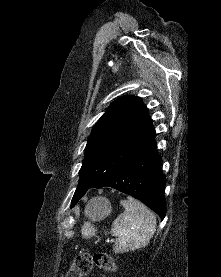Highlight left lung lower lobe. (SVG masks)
<instances>
[{
  "label": "left lung lower lobe",
  "instance_id": "0a47b994",
  "mask_svg": "<svg viewBox=\"0 0 221 277\" xmlns=\"http://www.w3.org/2000/svg\"><path fill=\"white\" fill-rule=\"evenodd\" d=\"M160 162L161 157L153 139L112 174L88 189L112 187L129 194L155 211L163 220L166 214L165 176L160 170ZM86 192L73 198L71 207Z\"/></svg>",
  "mask_w": 221,
  "mask_h": 277
}]
</instances>
